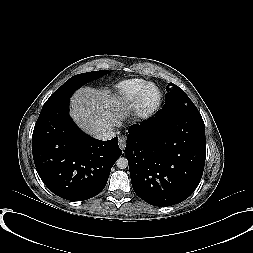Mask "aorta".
<instances>
[{
  "mask_svg": "<svg viewBox=\"0 0 253 253\" xmlns=\"http://www.w3.org/2000/svg\"><path fill=\"white\" fill-rule=\"evenodd\" d=\"M116 165L119 169H125L128 167V160L126 157H119L116 161Z\"/></svg>",
  "mask_w": 253,
  "mask_h": 253,
  "instance_id": "762f6f07",
  "label": "aorta"
}]
</instances>
